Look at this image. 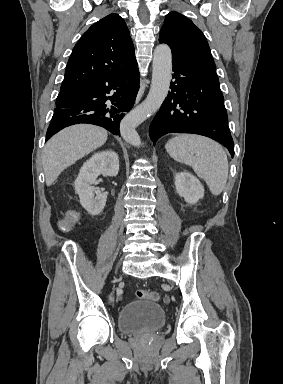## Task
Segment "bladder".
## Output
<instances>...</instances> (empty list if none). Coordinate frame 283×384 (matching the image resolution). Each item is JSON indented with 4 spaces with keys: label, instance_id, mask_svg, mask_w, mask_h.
<instances>
[{
    "label": "bladder",
    "instance_id": "obj_1",
    "mask_svg": "<svg viewBox=\"0 0 283 384\" xmlns=\"http://www.w3.org/2000/svg\"><path fill=\"white\" fill-rule=\"evenodd\" d=\"M166 314L159 302L144 300L124 304L119 308L117 327L122 333L138 334L163 327Z\"/></svg>",
    "mask_w": 283,
    "mask_h": 384
}]
</instances>
